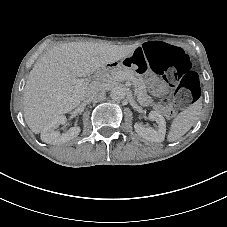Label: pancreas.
Listing matches in <instances>:
<instances>
[{
  "mask_svg": "<svg viewBox=\"0 0 227 227\" xmlns=\"http://www.w3.org/2000/svg\"><path fill=\"white\" fill-rule=\"evenodd\" d=\"M123 78L133 79L136 82L137 99L140 104L147 105L152 101L151 97L147 94V86L142 75L126 67L118 66L107 71H101L97 80L104 86H108L112 81L122 80Z\"/></svg>",
  "mask_w": 227,
  "mask_h": 227,
  "instance_id": "pancreas-1",
  "label": "pancreas"
}]
</instances>
